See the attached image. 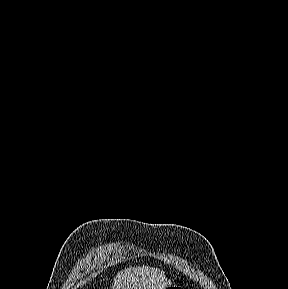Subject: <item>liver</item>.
<instances>
[{"instance_id":"obj_1","label":"liver","mask_w":288,"mask_h":289,"mask_svg":"<svg viewBox=\"0 0 288 289\" xmlns=\"http://www.w3.org/2000/svg\"><path fill=\"white\" fill-rule=\"evenodd\" d=\"M171 285L162 270L143 265L120 271L112 289H165Z\"/></svg>"}]
</instances>
